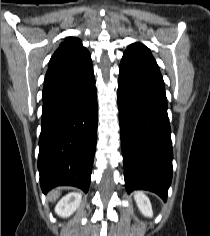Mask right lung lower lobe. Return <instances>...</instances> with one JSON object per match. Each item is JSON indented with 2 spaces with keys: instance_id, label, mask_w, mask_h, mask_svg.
<instances>
[{
  "instance_id": "right-lung-lower-lobe-1",
  "label": "right lung lower lobe",
  "mask_w": 210,
  "mask_h": 236,
  "mask_svg": "<svg viewBox=\"0 0 210 236\" xmlns=\"http://www.w3.org/2000/svg\"><path fill=\"white\" fill-rule=\"evenodd\" d=\"M38 169L44 193L59 185L88 191L96 146L92 63L44 83Z\"/></svg>"
}]
</instances>
